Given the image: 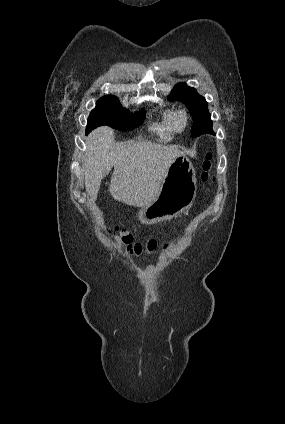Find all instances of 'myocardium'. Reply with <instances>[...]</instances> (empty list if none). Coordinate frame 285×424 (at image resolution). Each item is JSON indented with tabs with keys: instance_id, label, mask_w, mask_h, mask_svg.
Returning <instances> with one entry per match:
<instances>
[{
	"instance_id": "myocardium-1",
	"label": "myocardium",
	"mask_w": 285,
	"mask_h": 424,
	"mask_svg": "<svg viewBox=\"0 0 285 424\" xmlns=\"http://www.w3.org/2000/svg\"><path fill=\"white\" fill-rule=\"evenodd\" d=\"M189 123V115L186 110L179 109L174 112L173 115V125L176 131H184Z\"/></svg>"
}]
</instances>
